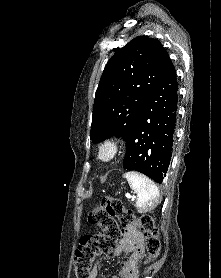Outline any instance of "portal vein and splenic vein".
<instances>
[{"mask_svg": "<svg viewBox=\"0 0 221 278\" xmlns=\"http://www.w3.org/2000/svg\"><path fill=\"white\" fill-rule=\"evenodd\" d=\"M126 197H127L128 199H131V198H132L131 195H129V194H126Z\"/></svg>", "mask_w": 221, "mask_h": 278, "instance_id": "portal-vein-and-splenic-vein-1", "label": "portal vein and splenic vein"}]
</instances>
